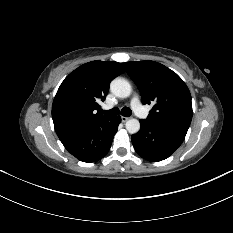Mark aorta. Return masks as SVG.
Masks as SVG:
<instances>
[{"mask_svg":"<svg viewBox=\"0 0 233 233\" xmlns=\"http://www.w3.org/2000/svg\"><path fill=\"white\" fill-rule=\"evenodd\" d=\"M110 90L119 98H127L132 92L130 83L124 78H115L112 80L110 83ZM125 126L130 134H135L140 130V122L135 118L129 119Z\"/></svg>","mask_w":233,"mask_h":233,"instance_id":"1","label":"aorta"}]
</instances>
